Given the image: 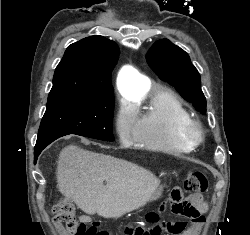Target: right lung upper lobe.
Listing matches in <instances>:
<instances>
[{
  "label": "right lung upper lobe",
  "mask_w": 250,
  "mask_h": 235,
  "mask_svg": "<svg viewBox=\"0 0 250 235\" xmlns=\"http://www.w3.org/2000/svg\"><path fill=\"white\" fill-rule=\"evenodd\" d=\"M118 55L117 44L99 35L71 44L55 70L48 98L70 93L113 92L111 72Z\"/></svg>",
  "instance_id": "cb5924a9"
}]
</instances>
